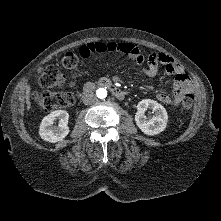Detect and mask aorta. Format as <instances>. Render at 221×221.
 <instances>
[{"mask_svg":"<svg viewBox=\"0 0 221 221\" xmlns=\"http://www.w3.org/2000/svg\"><path fill=\"white\" fill-rule=\"evenodd\" d=\"M96 95H97L98 98L104 99L107 96V90L104 89V88H99L96 91Z\"/></svg>","mask_w":221,"mask_h":221,"instance_id":"obj_1","label":"aorta"}]
</instances>
